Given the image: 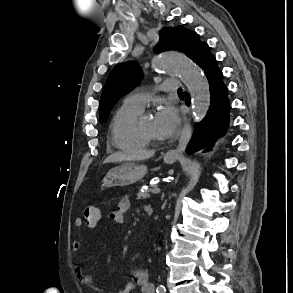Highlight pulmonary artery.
<instances>
[{"label": "pulmonary artery", "mask_w": 293, "mask_h": 293, "mask_svg": "<svg viewBox=\"0 0 293 293\" xmlns=\"http://www.w3.org/2000/svg\"><path fill=\"white\" fill-rule=\"evenodd\" d=\"M181 82L179 80L168 79L162 82L160 89L164 92L176 91L180 88ZM150 94L143 91H135L129 94L124 104L143 110L146 103L149 101Z\"/></svg>", "instance_id": "obj_1"}]
</instances>
